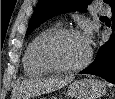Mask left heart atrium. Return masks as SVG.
Wrapping results in <instances>:
<instances>
[{
    "instance_id": "left-heart-atrium-1",
    "label": "left heart atrium",
    "mask_w": 115,
    "mask_h": 99,
    "mask_svg": "<svg viewBox=\"0 0 115 99\" xmlns=\"http://www.w3.org/2000/svg\"><path fill=\"white\" fill-rule=\"evenodd\" d=\"M82 37H83L84 41L86 42V44L89 45V42H90V37H89V35L87 34V35H84V36H82Z\"/></svg>"
}]
</instances>
